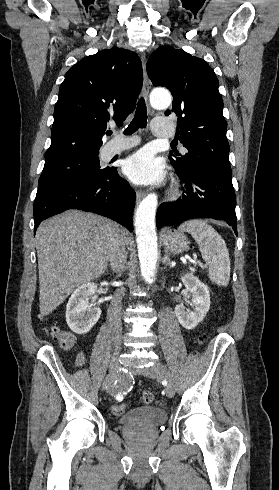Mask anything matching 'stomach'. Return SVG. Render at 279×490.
<instances>
[{
    "instance_id": "0dacf381",
    "label": "stomach",
    "mask_w": 279,
    "mask_h": 490,
    "mask_svg": "<svg viewBox=\"0 0 279 490\" xmlns=\"http://www.w3.org/2000/svg\"><path fill=\"white\" fill-rule=\"evenodd\" d=\"M161 240L164 248L171 252V254H182L189 248V242L183 234V232H177V230H169V228H163L161 232Z\"/></svg>"
}]
</instances>
